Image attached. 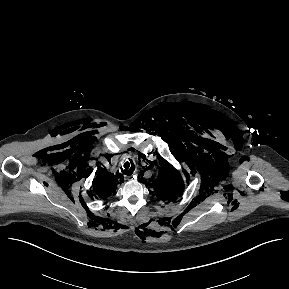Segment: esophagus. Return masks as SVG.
I'll list each match as a JSON object with an SVG mask.
<instances>
[{
	"label": "esophagus",
	"instance_id": "esophagus-1",
	"mask_svg": "<svg viewBox=\"0 0 289 289\" xmlns=\"http://www.w3.org/2000/svg\"><path fill=\"white\" fill-rule=\"evenodd\" d=\"M131 177H133L134 179H136V175H133V176H131ZM133 178H132V179H133Z\"/></svg>",
	"mask_w": 289,
	"mask_h": 289
}]
</instances>
